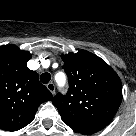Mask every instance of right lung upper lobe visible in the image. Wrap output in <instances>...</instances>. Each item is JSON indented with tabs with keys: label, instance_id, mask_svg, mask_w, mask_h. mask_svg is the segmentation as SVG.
I'll return each instance as SVG.
<instances>
[{
	"label": "right lung upper lobe",
	"instance_id": "cb5924a9",
	"mask_svg": "<svg viewBox=\"0 0 136 136\" xmlns=\"http://www.w3.org/2000/svg\"><path fill=\"white\" fill-rule=\"evenodd\" d=\"M31 54L15 45L0 47V129L17 131L35 117L38 106L52 99L35 71L27 68Z\"/></svg>",
	"mask_w": 136,
	"mask_h": 136
}]
</instances>
